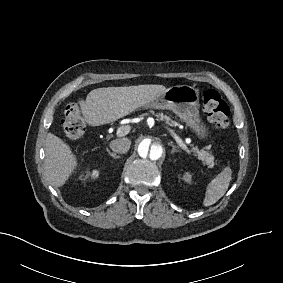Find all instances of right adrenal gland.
I'll list each match as a JSON object with an SVG mask.
<instances>
[{"label":"right adrenal gland","instance_id":"1","mask_svg":"<svg viewBox=\"0 0 283 283\" xmlns=\"http://www.w3.org/2000/svg\"><path fill=\"white\" fill-rule=\"evenodd\" d=\"M107 152H108L109 155H110L111 157H113L114 159L120 158V156H118L116 153H112L109 149H107Z\"/></svg>","mask_w":283,"mask_h":283}]
</instances>
